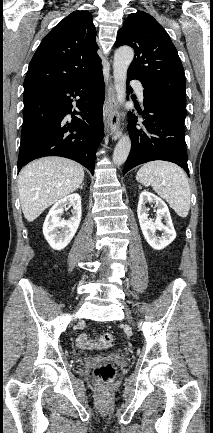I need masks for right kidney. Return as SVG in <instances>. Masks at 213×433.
<instances>
[{
  "instance_id": "right-kidney-1",
  "label": "right kidney",
  "mask_w": 213,
  "mask_h": 433,
  "mask_svg": "<svg viewBox=\"0 0 213 433\" xmlns=\"http://www.w3.org/2000/svg\"><path fill=\"white\" fill-rule=\"evenodd\" d=\"M73 206V215L69 220L62 219L64 209ZM81 197L70 194L54 204L43 224V234L49 245L55 250L64 249L74 237L81 221Z\"/></svg>"
}]
</instances>
